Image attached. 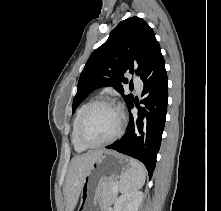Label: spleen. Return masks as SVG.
Wrapping results in <instances>:
<instances>
[{
  "instance_id": "3e777b00",
  "label": "spleen",
  "mask_w": 221,
  "mask_h": 211,
  "mask_svg": "<svg viewBox=\"0 0 221 211\" xmlns=\"http://www.w3.org/2000/svg\"><path fill=\"white\" fill-rule=\"evenodd\" d=\"M130 166V169L120 178L119 191L121 193L138 191L145 183L146 169L143 164L137 160L130 159Z\"/></svg>"
}]
</instances>
